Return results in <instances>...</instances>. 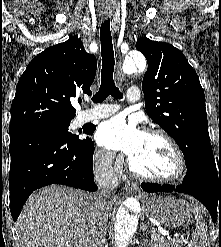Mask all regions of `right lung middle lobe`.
<instances>
[{"mask_svg":"<svg viewBox=\"0 0 221 247\" xmlns=\"http://www.w3.org/2000/svg\"><path fill=\"white\" fill-rule=\"evenodd\" d=\"M69 125H70V122L47 123V124H42V125L35 126L32 128H39V129L50 131V132H52L58 136H61L65 139H68V140H72V141L79 140V136L73 135L71 132H69V130H68ZM84 132L88 134L87 128L84 130Z\"/></svg>","mask_w":221,"mask_h":247,"instance_id":"dd1d6c3e","label":"right lung middle lobe"}]
</instances>
